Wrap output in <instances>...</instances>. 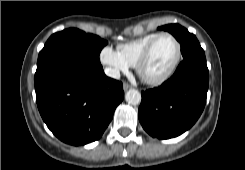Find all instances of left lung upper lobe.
<instances>
[{"label": "left lung upper lobe", "instance_id": "5c2ea615", "mask_svg": "<svg viewBox=\"0 0 245 170\" xmlns=\"http://www.w3.org/2000/svg\"><path fill=\"white\" fill-rule=\"evenodd\" d=\"M160 30L170 32L181 45V53L184 59H197L206 61L205 54L195 35L179 24H169L159 27Z\"/></svg>", "mask_w": 245, "mask_h": 170}]
</instances>
